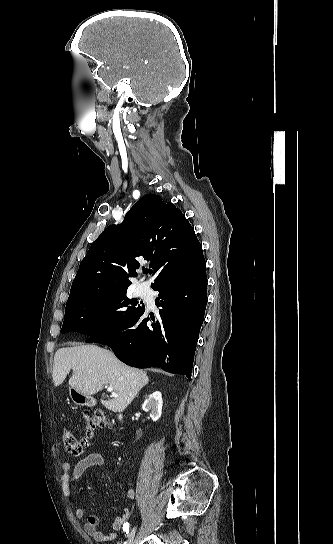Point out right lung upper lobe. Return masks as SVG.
<instances>
[{"label": "right lung upper lobe", "instance_id": "cb5924a9", "mask_svg": "<svg viewBox=\"0 0 333 544\" xmlns=\"http://www.w3.org/2000/svg\"><path fill=\"white\" fill-rule=\"evenodd\" d=\"M142 260L157 274L152 288L188 276L205 266L201 244L188 220L173 204L155 194L142 197L120 225H110L91 245L73 280L77 297L127 290Z\"/></svg>", "mask_w": 333, "mask_h": 544}]
</instances>
